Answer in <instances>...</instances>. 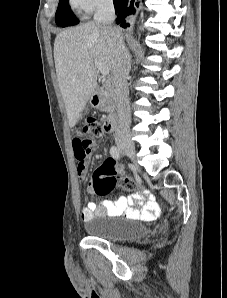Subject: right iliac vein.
<instances>
[{
	"label": "right iliac vein",
	"instance_id": "obj_1",
	"mask_svg": "<svg viewBox=\"0 0 227 298\" xmlns=\"http://www.w3.org/2000/svg\"><path fill=\"white\" fill-rule=\"evenodd\" d=\"M119 149L127 154L129 157L134 158L135 146L132 142H122L118 144Z\"/></svg>",
	"mask_w": 227,
	"mask_h": 298
}]
</instances>
